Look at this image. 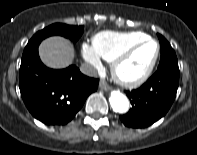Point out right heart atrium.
<instances>
[{
    "mask_svg": "<svg viewBox=\"0 0 197 155\" xmlns=\"http://www.w3.org/2000/svg\"><path fill=\"white\" fill-rule=\"evenodd\" d=\"M81 51L84 59L95 67H100V57L95 52L93 47L89 46L87 43H83L81 46Z\"/></svg>",
    "mask_w": 197,
    "mask_h": 155,
    "instance_id": "d8ad5b80",
    "label": "right heart atrium"
}]
</instances>
